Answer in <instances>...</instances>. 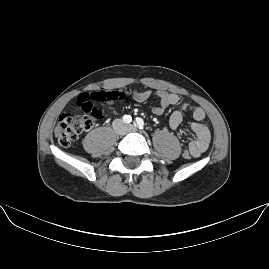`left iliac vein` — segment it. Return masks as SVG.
Returning <instances> with one entry per match:
<instances>
[{"instance_id": "1", "label": "left iliac vein", "mask_w": 269, "mask_h": 269, "mask_svg": "<svg viewBox=\"0 0 269 269\" xmlns=\"http://www.w3.org/2000/svg\"><path fill=\"white\" fill-rule=\"evenodd\" d=\"M130 130H131V131H135L136 129H135L134 126L130 125Z\"/></svg>"}]
</instances>
